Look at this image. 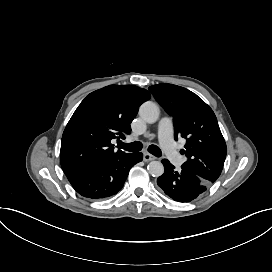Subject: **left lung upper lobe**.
<instances>
[{
    "instance_id": "left-lung-upper-lobe-1",
    "label": "left lung upper lobe",
    "mask_w": 272,
    "mask_h": 272,
    "mask_svg": "<svg viewBox=\"0 0 272 272\" xmlns=\"http://www.w3.org/2000/svg\"><path fill=\"white\" fill-rule=\"evenodd\" d=\"M173 117L175 140L186 139L187 161L182 168L212 184L220 176L227 148L212 109L196 94L173 84L149 87Z\"/></svg>"
}]
</instances>
